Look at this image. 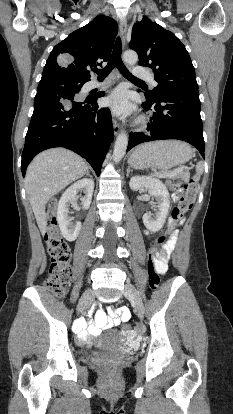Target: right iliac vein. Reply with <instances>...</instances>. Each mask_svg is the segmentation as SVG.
Returning <instances> with one entry per match:
<instances>
[{
  "mask_svg": "<svg viewBox=\"0 0 233 414\" xmlns=\"http://www.w3.org/2000/svg\"><path fill=\"white\" fill-rule=\"evenodd\" d=\"M93 299H94V294L92 290H86L79 301L77 312L82 313L88 306H90Z\"/></svg>",
  "mask_w": 233,
  "mask_h": 414,
  "instance_id": "1",
  "label": "right iliac vein"
}]
</instances>
